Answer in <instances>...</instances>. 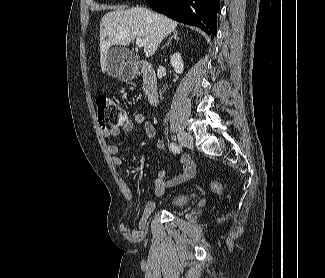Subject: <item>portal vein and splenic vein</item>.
<instances>
[{
  "instance_id": "1",
  "label": "portal vein and splenic vein",
  "mask_w": 325,
  "mask_h": 278,
  "mask_svg": "<svg viewBox=\"0 0 325 278\" xmlns=\"http://www.w3.org/2000/svg\"><path fill=\"white\" fill-rule=\"evenodd\" d=\"M136 45L138 47H143L144 46V40L140 39V38L136 39Z\"/></svg>"
}]
</instances>
